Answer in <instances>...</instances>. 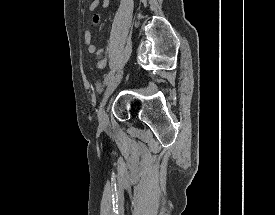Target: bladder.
I'll use <instances>...</instances> for the list:
<instances>
[{
	"label": "bladder",
	"mask_w": 275,
	"mask_h": 215,
	"mask_svg": "<svg viewBox=\"0 0 275 215\" xmlns=\"http://www.w3.org/2000/svg\"><path fill=\"white\" fill-rule=\"evenodd\" d=\"M97 87H98V89H99L100 92L103 91V85H102V83H98ZM105 92H106V91H105ZM104 95H105V93H104ZM103 97H104V96H103Z\"/></svg>",
	"instance_id": "31cf9c89"
}]
</instances>
